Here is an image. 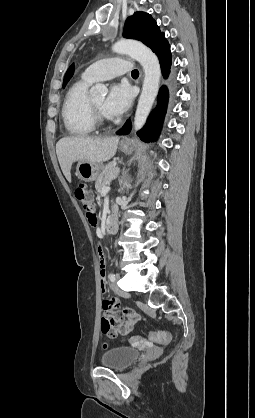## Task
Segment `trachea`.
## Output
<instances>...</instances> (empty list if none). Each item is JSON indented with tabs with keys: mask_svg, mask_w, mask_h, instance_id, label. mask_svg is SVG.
Listing matches in <instances>:
<instances>
[{
	"mask_svg": "<svg viewBox=\"0 0 255 418\" xmlns=\"http://www.w3.org/2000/svg\"><path fill=\"white\" fill-rule=\"evenodd\" d=\"M131 74H132V75H139V71H138L137 69H135V70H133V71L131 72Z\"/></svg>",
	"mask_w": 255,
	"mask_h": 418,
	"instance_id": "1",
	"label": "trachea"
}]
</instances>
